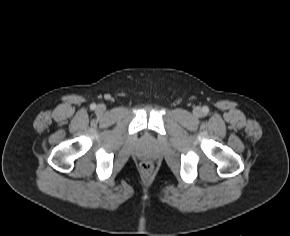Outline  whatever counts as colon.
<instances>
[{
	"label": "colon",
	"instance_id": "obj_1",
	"mask_svg": "<svg viewBox=\"0 0 290 236\" xmlns=\"http://www.w3.org/2000/svg\"><path fill=\"white\" fill-rule=\"evenodd\" d=\"M141 169H142L143 172L148 173V172L151 171V169H152V165H151V163H149V162H143V163L141 164Z\"/></svg>",
	"mask_w": 290,
	"mask_h": 236
}]
</instances>
